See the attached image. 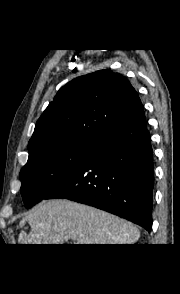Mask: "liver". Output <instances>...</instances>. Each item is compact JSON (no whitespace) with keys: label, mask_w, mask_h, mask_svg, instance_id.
<instances>
[{"label":"liver","mask_w":180,"mask_h":294,"mask_svg":"<svg viewBox=\"0 0 180 294\" xmlns=\"http://www.w3.org/2000/svg\"><path fill=\"white\" fill-rule=\"evenodd\" d=\"M31 230L19 235L20 244H134L139 229L124 219L69 200H50L32 209L20 221Z\"/></svg>","instance_id":"6515ba94"}]
</instances>
